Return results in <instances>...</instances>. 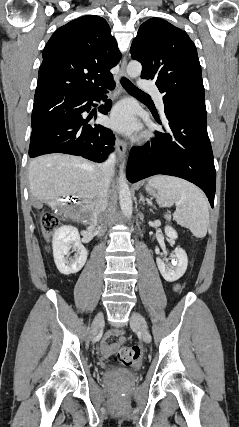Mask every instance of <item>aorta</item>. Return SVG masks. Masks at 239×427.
<instances>
[{"label": "aorta", "mask_w": 239, "mask_h": 427, "mask_svg": "<svg viewBox=\"0 0 239 427\" xmlns=\"http://www.w3.org/2000/svg\"><path fill=\"white\" fill-rule=\"evenodd\" d=\"M141 71L142 66L138 61H131L127 66V74L130 78H137ZM124 168L125 163L123 162L119 172V203L124 216L131 218L133 203Z\"/></svg>", "instance_id": "1"}]
</instances>
